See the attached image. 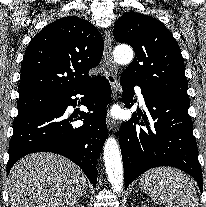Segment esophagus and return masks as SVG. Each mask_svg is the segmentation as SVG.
I'll return each instance as SVG.
<instances>
[{
	"label": "esophagus",
	"instance_id": "1",
	"mask_svg": "<svg viewBox=\"0 0 206 207\" xmlns=\"http://www.w3.org/2000/svg\"><path fill=\"white\" fill-rule=\"evenodd\" d=\"M104 58L106 61V64L109 67V70L111 71L112 76L116 79L117 78V72H118V66L116 65V63L113 60L112 57V38H111V34L109 31H106L105 33V39H104ZM117 98V91L114 88L113 89V99L114 101ZM108 128L110 131H114L116 132L119 128V122L115 121L113 119H109L108 120Z\"/></svg>",
	"mask_w": 206,
	"mask_h": 207
}]
</instances>
